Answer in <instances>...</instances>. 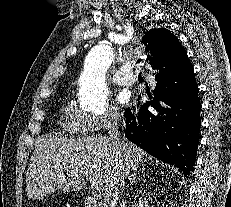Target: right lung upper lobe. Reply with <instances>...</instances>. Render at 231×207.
I'll use <instances>...</instances> for the list:
<instances>
[{"instance_id":"cb5924a9","label":"right lung upper lobe","mask_w":231,"mask_h":207,"mask_svg":"<svg viewBox=\"0 0 231 207\" xmlns=\"http://www.w3.org/2000/svg\"><path fill=\"white\" fill-rule=\"evenodd\" d=\"M146 51L150 54L149 63L154 66L161 62L163 68L168 66H177L189 62L185 49L180 45L178 39L165 28L154 29L151 36L143 38Z\"/></svg>"}]
</instances>
